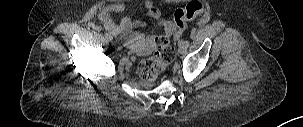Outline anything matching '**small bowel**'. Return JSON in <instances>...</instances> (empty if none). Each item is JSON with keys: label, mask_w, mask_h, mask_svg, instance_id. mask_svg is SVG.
I'll use <instances>...</instances> for the list:
<instances>
[{"label": "small bowel", "mask_w": 303, "mask_h": 127, "mask_svg": "<svg viewBox=\"0 0 303 127\" xmlns=\"http://www.w3.org/2000/svg\"><path fill=\"white\" fill-rule=\"evenodd\" d=\"M124 10L125 5L121 2L107 4L99 9L98 19L110 34L119 38L134 53L139 55L148 53L152 49L155 36H146L135 31L145 26V23L140 20H133L130 17L116 20L113 17V14L122 13ZM141 11L157 23L163 37L172 38L176 35L175 25L161 16V12L154 6L152 0H145Z\"/></svg>", "instance_id": "1"}]
</instances>
